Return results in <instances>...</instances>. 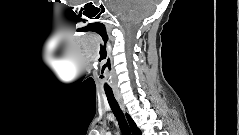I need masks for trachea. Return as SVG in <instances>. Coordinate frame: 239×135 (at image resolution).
<instances>
[{
	"label": "trachea",
	"mask_w": 239,
	"mask_h": 135,
	"mask_svg": "<svg viewBox=\"0 0 239 135\" xmlns=\"http://www.w3.org/2000/svg\"><path fill=\"white\" fill-rule=\"evenodd\" d=\"M106 96H107L108 103H109L114 115L116 116V118L118 120L119 127H120L122 134L123 135H131V131L128 126V123H127L125 116H124L122 110L120 109V106H119L118 102L116 101L113 93H106Z\"/></svg>",
	"instance_id": "1"
}]
</instances>
